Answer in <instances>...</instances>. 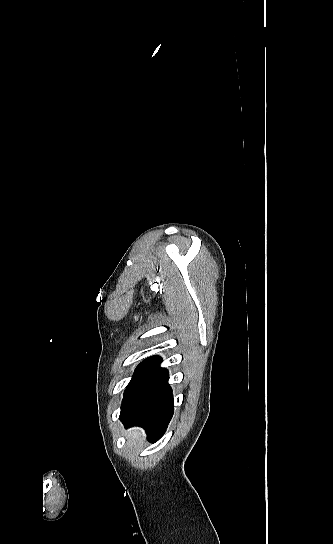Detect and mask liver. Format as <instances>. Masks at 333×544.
Here are the masks:
<instances>
[{
  "label": "liver",
  "mask_w": 333,
  "mask_h": 544,
  "mask_svg": "<svg viewBox=\"0 0 333 544\" xmlns=\"http://www.w3.org/2000/svg\"><path fill=\"white\" fill-rule=\"evenodd\" d=\"M126 435L129 437V438H132V437H141V435H143L142 431L140 429H134V430H130L126 433Z\"/></svg>",
  "instance_id": "liver-1"
}]
</instances>
